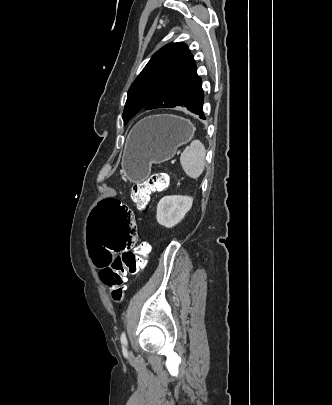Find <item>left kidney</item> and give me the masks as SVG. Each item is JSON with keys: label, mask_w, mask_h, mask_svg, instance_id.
Listing matches in <instances>:
<instances>
[{"label": "left kidney", "mask_w": 332, "mask_h": 405, "mask_svg": "<svg viewBox=\"0 0 332 405\" xmlns=\"http://www.w3.org/2000/svg\"><path fill=\"white\" fill-rule=\"evenodd\" d=\"M193 198L181 195L163 197L157 205V222L172 228L177 225L191 209Z\"/></svg>", "instance_id": "1"}]
</instances>
